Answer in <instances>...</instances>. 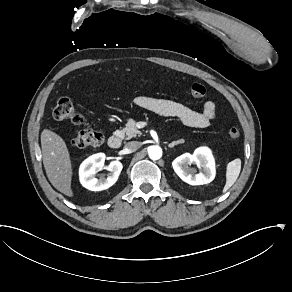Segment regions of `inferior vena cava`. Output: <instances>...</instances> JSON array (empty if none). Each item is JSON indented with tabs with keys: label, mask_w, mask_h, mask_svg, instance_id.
Masks as SVG:
<instances>
[{
	"label": "inferior vena cava",
	"mask_w": 292,
	"mask_h": 292,
	"mask_svg": "<svg viewBox=\"0 0 292 292\" xmlns=\"http://www.w3.org/2000/svg\"><path fill=\"white\" fill-rule=\"evenodd\" d=\"M140 146H141V143L140 142H138V141H131V142H128L125 145V149L128 150L129 152H134L138 148H140Z\"/></svg>",
	"instance_id": "1"
}]
</instances>
